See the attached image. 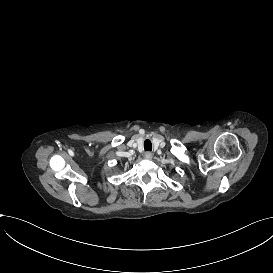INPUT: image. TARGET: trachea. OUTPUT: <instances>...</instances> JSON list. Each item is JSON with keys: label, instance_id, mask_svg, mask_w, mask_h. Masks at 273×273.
I'll return each mask as SVG.
<instances>
[{"label": "trachea", "instance_id": "obj_1", "mask_svg": "<svg viewBox=\"0 0 273 273\" xmlns=\"http://www.w3.org/2000/svg\"><path fill=\"white\" fill-rule=\"evenodd\" d=\"M144 148H145V151H151L152 150V144L149 140H146L144 142Z\"/></svg>", "mask_w": 273, "mask_h": 273}]
</instances>
